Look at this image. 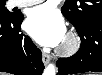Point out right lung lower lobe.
<instances>
[{"label":"right lung lower lobe","instance_id":"1","mask_svg":"<svg viewBox=\"0 0 102 75\" xmlns=\"http://www.w3.org/2000/svg\"><path fill=\"white\" fill-rule=\"evenodd\" d=\"M23 15L0 18V71L15 75H41L42 53L21 33Z\"/></svg>","mask_w":102,"mask_h":75}]
</instances>
